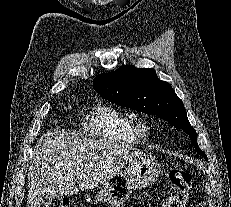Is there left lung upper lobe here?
Segmentation results:
<instances>
[{
	"label": "left lung upper lobe",
	"mask_w": 231,
	"mask_h": 207,
	"mask_svg": "<svg viewBox=\"0 0 231 207\" xmlns=\"http://www.w3.org/2000/svg\"><path fill=\"white\" fill-rule=\"evenodd\" d=\"M93 88L115 104L156 115L182 129L190 136L196 152L207 160L197 144L196 131L188 121L183 102L170 84L157 78L154 69L123 65L116 71L96 76Z\"/></svg>",
	"instance_id": "1"
}]
</instances>
